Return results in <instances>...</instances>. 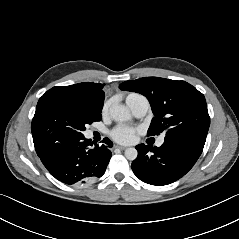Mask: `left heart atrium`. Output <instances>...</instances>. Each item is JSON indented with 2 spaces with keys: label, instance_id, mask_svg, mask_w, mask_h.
I'll return each mask as SVG.
<instances>
[{
  "label": "left heart atrium",
  "instance_id": "left-heart-atrium-1",
  "mask_svg": "<svg viewBox=\"0 0 239 239\" xmlns=\"http://www.w3.org/2000/svg\"><path fill=\"white\" fill-rule=\"evenodd\" d=\"M136 129L127 125H118L111 131V137L122 144H128L134 140Z\"/></svg>",
  "mask_w": 239,
  "mask_h": 239
}]
</instances>
